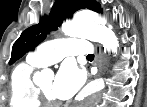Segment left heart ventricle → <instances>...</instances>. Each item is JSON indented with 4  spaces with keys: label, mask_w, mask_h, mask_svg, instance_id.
Returning a JSON list of instances; mask_svg holds the SVG:
<instances>
[{
    "label": "left heart ventricle",
    "mask_w": 147,
    "mask_h": 107,
    "mask_svg": "<svg viewBox=\"0 0 147 107\" xmlns=\"http://www.w3.org/2000/svg\"><path fill=\"white\" fill-rule=\"evenodd\" d=\"M53 84H54V78H47L42 80L39 85L41 86V88L43 89V91L50 96L52 99H57L52 92L53 89Z\"/></svg>",
    "instance_id": "1"
}]
</instances>
